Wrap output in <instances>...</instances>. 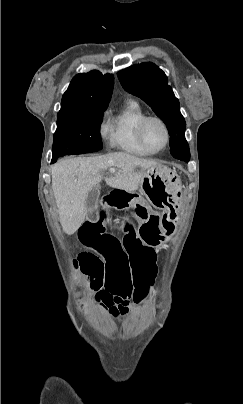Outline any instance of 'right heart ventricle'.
<instances>
[{
  "label": "right heart ventricle",
  "instance_id": "right-heart-ventricle-1",
  "mask_svg": "<svg viewBox=\"0 0 243 404\" xmlns=\"http://www.w3.org/2000/svg\"><path fill=\"white\" fill-rule=\"evenodd\" d=\"M145 115L146 112L138 101L128 99L120 111L111 117L114 147L118 151L138 157L156 154L144 147L137 136V124Z\"/></svg>",
  "mask_w": 243,
  "mask_h": 404
}]
</instances>
